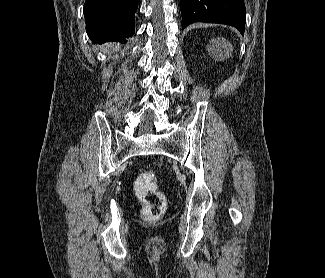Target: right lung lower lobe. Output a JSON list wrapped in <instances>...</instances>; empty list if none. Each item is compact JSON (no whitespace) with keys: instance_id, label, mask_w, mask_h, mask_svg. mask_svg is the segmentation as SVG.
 I'll return each instance as SVG.
<instances>
[{"instance_id":"98d812e1","label":"right lung lower lobe","mask_w":325,"mask_h":278,"mask_svg":"<svg viewBox=\"0 0 325 278\" xmlns=\"http://www.w3.org/2000/svg\"><path fill=\"white\" fill-rule=\"evenodd\" d=\"M138 0H86V31L93 42H126L135 31Z\"/></svg>"}]
</instances>
